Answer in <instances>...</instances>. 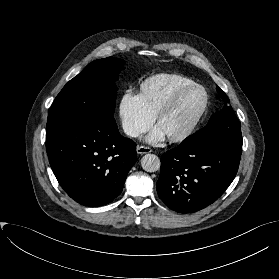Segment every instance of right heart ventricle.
Wrapping results in <instances>:
<instances>
[{"mask_svg": "<svg viewBox=\"0 0 279 279\" xmlns=\"http://www.w3.org/2000/svg\"><path fill=\"white\" fill-rule=\"evenodd\" d=\"M196 84L180 73H159L145 79L139 95L147 111L155 117L165 104L182 88Z\"/></svg>", "mask_w": 279, "mask_h": 279, "instance_id": "right-heart-ventricle-1", "label": "right heart ventricle"}]
</instances>
